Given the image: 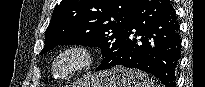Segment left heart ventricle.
I'll use <instances>...</instances> for the list:
<instances>
[{"mask_svg": "<svg viewBox=\"0 0 205 87\" xmlns=\"http://www.w3.org/2000/svg\"><path fill=\"white\" fill-rule=\"evenodd\" d=\"M77 63V58L73 55H67L62 57L57 65H56V71L58 73H64L71 69L75 64Z\"/></svg>", "mask_w": 205, "mask_h": 87, "instance_id": "b2bd125f", "label": "left heart ventricle"}]
</instances>
